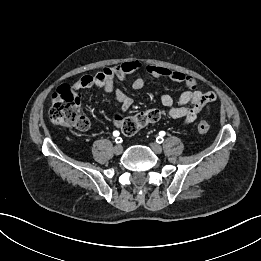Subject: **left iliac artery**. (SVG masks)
Listing matches in <instances>:
<instances>
[{
    "label": "left iliac artery",
    "mask_w": 261,
    "mask_h": 261,
    "mask_svg": "<svg viewBox=\"0 0 261 261\" xmlns=\"http://www.w3.org/2000/svg\"><path fill=\"white\" fill-rule=\"evenodd\" d=\"M165 135L164 131L159 132V137L156 138L157 143H162L163 142V136Z\"/></svg>",
    "instance_id": "44dca946"
}]
</instances>
